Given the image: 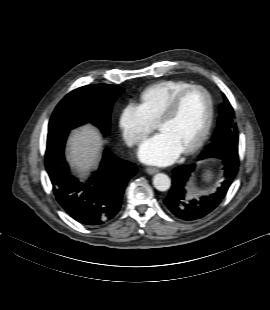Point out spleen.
<instances>
[{
	"label": "spleen",
	"instance_id": "1",
	"mask_svg": "<svg viewBox=\"0 0 270 310\" xmlns=\"http://www.w3.org/2000/svg\"><path fill=\"white\" fill-rule=\"evenodd\" d=\"M206 180H210L213 177V174L210 171H206L205 176Z\"/></svg>",
	"mask_w": 270,
	"mask_h": 310
}]
</instances>
